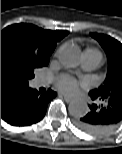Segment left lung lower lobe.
Returning <instances> with one entry per match:
<instances>
[{"mask_svg":"<svg viewBox=\"0 0 122 154\" xmlns=\"http://www.w3.org/2000/svg\"><path fill=\"white\" fill-rule=\"evenodd\" d=\"M117 93L116 95H114ZM115 91L112 97L89 92L91 99L97 103L89 106L87 114L76 121V126L90 134H104L122 120V95Z\"/></svg>","mask_w":122,"mask_h":154,"instance_id":"1","label":"left lung lower lobe"}]
</instances>
